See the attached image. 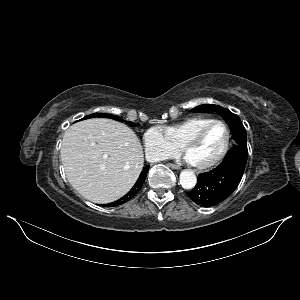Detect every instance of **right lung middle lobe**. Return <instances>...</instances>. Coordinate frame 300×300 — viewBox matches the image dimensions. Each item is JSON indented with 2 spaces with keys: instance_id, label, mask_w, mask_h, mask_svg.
I'll return each instance as SVG.
<instances>
[{
  "instance_id": "right-lung-middle-lobe-1",
  "label": "right lung middle lobe",
  "mask_w": 300,
  "mask_h": 300,
  "mask_svg": "<svg viewBox=\"0 0 300 300\" xmlns=\"http://www.w3.org/2000/svg\"><path fill=\"white\" fill-rule=\"evenodd\" d=\"M92 117H105V118H110V119H114V120L122 122L121 118L114 116V115L105 114V113H94V114L84 117L83 119L92 118Z\"/></svg>"
}]
</instances>
